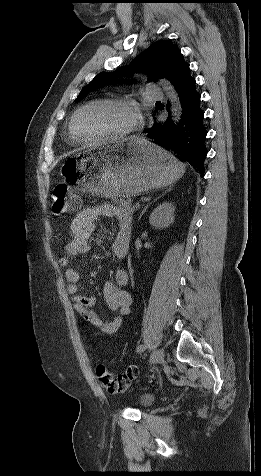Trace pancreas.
<instances>
[{"mask_svg":"<svg viewBox=\"0 0 261 476\" xmlns=\"http://www.w3.org/2000/svg\"><path fill=\"white\" fill-rule=\"evenodd\" d=\"M120 208L124 211L127 212L128 214H133L136 210L137 207L135 205H132L131 200L127 199H120L118 200Z\"/></svg>","mask_w":261,"mask_h":476,"instance_id":"obj_1","label":"pancreas"}]
</instances>
